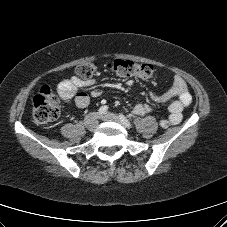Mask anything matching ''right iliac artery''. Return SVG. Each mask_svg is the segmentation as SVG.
I'll return each instance as SVG.
<instances>
[{"label":"right iliac artery","instance_id":"82829eb1","mask_svg":"<svg viewBox=\"0 0 227 227\" xmlns=\"http://www.w3.org/2000/svg\"><path fill=\"white\" fill-rule=\"evenodd\" d=\"M107 110H108V106L104 105L99 108L98 113L102 115V114H105Z\"/></svg>","mask_w":227,"mask_h":227}]
</instances>
